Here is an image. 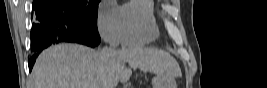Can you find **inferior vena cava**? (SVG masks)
Listing matches in <instances>:
<instances>
[{"label": "inferior vena cava", "mask_w": 267, "mask_h": 88, "mask_svg": "<svg viewBox=\"0 0 267 88\" xmlns=\"http://www.w3.org/2000/svg\"><path fill=\"white\" fill-rule=\"evenodd\" d=\"M105 51H107V47H105V48L102 49V52H105Z\"/></svg>", "instance_id": "obj_1"}]
</instances>
